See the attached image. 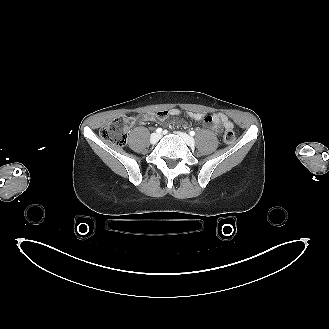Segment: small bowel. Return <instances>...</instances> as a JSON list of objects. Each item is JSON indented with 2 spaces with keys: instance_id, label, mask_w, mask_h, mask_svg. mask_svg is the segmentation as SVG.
<instances>
[{
  "instance_id": "small-bowel-1",
  "label": "small bowel",
  "mask_w": 329,
  "mask_h": 329,
  "mask_svg": "<svg viewBox=\"0 0 329 329\" xmlns=\"http://www.w3.org/2000/svg\"><path fill=\"white\" fill-rule=\"evenodd\" d=\"M180 115V111L176 108L166 109L153 115L144 113L139 116L142 121H159L161 123H168L171 117ZM188 116L195 121H203L205 125L212 131L221 134L223 130H232L234 125L229 118L223 113H215L212 115H204L201 113H188Z\"/></svg>"
}]
</instances>
